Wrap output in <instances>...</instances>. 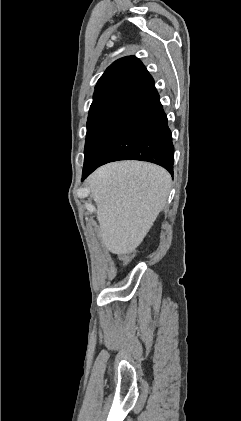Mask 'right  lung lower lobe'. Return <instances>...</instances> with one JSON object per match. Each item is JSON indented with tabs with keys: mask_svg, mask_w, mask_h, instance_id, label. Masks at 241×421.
<instances>
[{
	"mask_svg": "<svg viewBox=\"0 0 241 421\" xmlns=\"http://www.w3.org/2000/svg\"><path fill=\"white\" fill-rule=\"evenodd\" d=\"M118 160L152 162L173 174L172 134L154 84L132 102L124 121L96 163L83 169L82 180L99 166Z\"/></svg>",
	"mask_w": 241,
	"mask_h": 421,
	"instance_id": "98d812e1",
	"label": "right lung lower lobe"
}]
</instances>
